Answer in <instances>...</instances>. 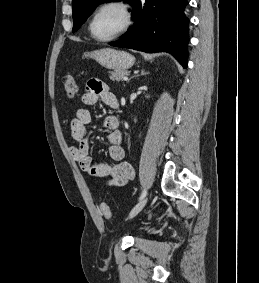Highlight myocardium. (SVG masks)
<instances>
[{"label": "myocardium", "mask_w": 259, "mask_h": 283, "mask_svg": "<svg viewBox=\"0 0 259 283\" xmlns=\"http://www.w3.org/2000/svg\"><path fill=\"white\" fill-rule=\"evenodd\" d=\"M110 7H116L118 8L124 15V24L123 26L120 28V30H118L115 34H113L110 37L107 38H98L93 34L92 31V26H93V22L96 18V16L103 11L104 9L110 8ZM133 22V14H132V10L130 8V6L124 2L123 0H108L105 1L104 3L100 4L92 13L89 23H88V31L90 36L92 37V39H94L95 41L98 42H110L112 40H115L117 38H119L120 36H122L123 34H125L129 28L131 27Z\"/></svg>", "instance_id": "obj_1"}]
</instances>
